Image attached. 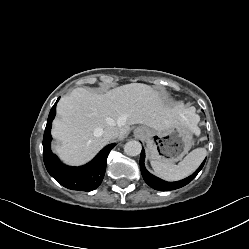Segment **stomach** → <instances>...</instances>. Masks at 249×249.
Here are the masks:
<instances>
[{
  "label": "stomach",
  "instance_id": "stomach-1",
  "mask_svg": "<svg viewBox=\"0 0 249 249\" xmlns=\"http://www.w3.org/2000/svg\"><path fill=\"white\" fill-rule=\"evenodd\" d=\"M142 128L151 160L175 163L182 160L193 144V131L186 122H180L162 131L148 127Z\"/></svg>",
  "mask_w": 249,
  "mask_h": 249
}]
</instances>
